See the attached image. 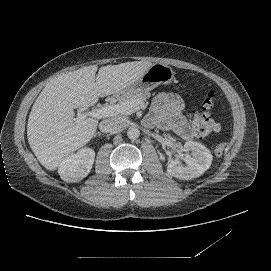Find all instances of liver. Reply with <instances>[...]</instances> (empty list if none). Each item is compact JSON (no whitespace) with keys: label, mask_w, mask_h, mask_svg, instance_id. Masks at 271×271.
Returning a JSON list of instances; mask_svg holds the SVG:
<instances>
[{"label":"liver","mask_w":271,"mask_h":271,"mask_svg":"<svg viewBox=\"0 0 271 271\" xmlns=\"http://www.w3.org/2000/svg\"><path fill=\"white\" fill-rule=\"evenodd\" d=\"M151 66L149 61L106 65L96 75L97 66L92 65L48 82L27 122L29 146L41 165L54 170L66 154L82 147L95 134L98 120L75 117L74 109L89 107L99 97L121 93Z\"/></svg>","instance_id":"6515ba94"}]
</instances>
